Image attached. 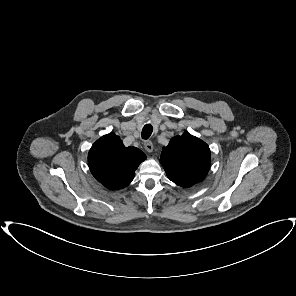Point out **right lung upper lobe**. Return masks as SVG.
I'll list each match as a JSON object with an SVG mask.
<instances>
[{
	"label": "right lung upper lobe",
	"instance_id": "right-lung-upper-lobe-1",
	"mask_svg": "<svg viewBox=\"0 0 296 296\" xmlns=\"http://www.w3.org/2000/svg\"><path fill=\"white\" fill-rule=\"evenodd\" d=\"M146 159L138 148L125 147L115 134L104 135L91 147L88 164L93 176L106 188L118 190L133 180L135 170Z\"/></svg>",
	"mask_w": 296,
	"mask_h": 296
}]
</instances>
